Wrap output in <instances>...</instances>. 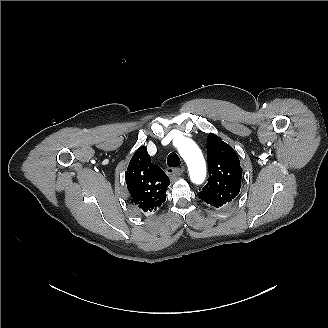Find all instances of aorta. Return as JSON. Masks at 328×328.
<instances>
[{
	"mask_svg": "<svg viewBox=\"0 0 328 328\" xmlns=\"http://www.w3.org/2000/svg\"><path fill=\"white\" fill-rule=\"evenodd\" d=\"M177 149L187 164L191 181L195 184H201L206 177V165L198 146L193 140L183 138L178 143Z\"/></svg>",
	"mask_w": 328,
	"mask_h": 328,
	"instance_id": "aorta-1",
	"label": "aorta"
}]
</instances>
